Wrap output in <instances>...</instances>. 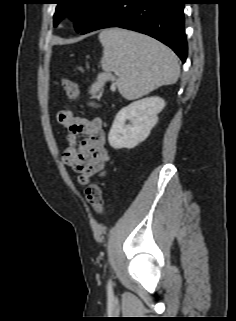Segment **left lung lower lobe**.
<instances>
[{
	"instance_id": "1",
	"label": "left lung lower lobe",
	"mask_w": 236,
	"mask_h": 321,
	"mask_svg": "<svg viewBox=\"0 0 236 321\" xmlns=\"http://www.w3.org/2000/svg\"><path fill=\"white\" fill-rule=\"evenodd\" d=\"M184 4L187 0H108L81 34L108 27L137 31L172 48L184 63L187 58Z\"/></svg>"
}]
</instances>
